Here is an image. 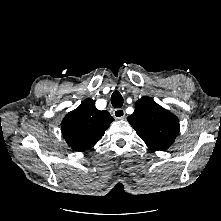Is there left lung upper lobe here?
Wrapping results in <instances>:
<instances>
[{
	"label": "left lung upper lobe",
	"mask_w": 221,
	"mask_h": 221,
	"mask_svg": "<svg viewBox=\"0 0 221 221\" xmlns=\"http://www.w3.org/2000/svg\"><path fill=\"white\" fill-rule=\"evenodd\" d=\"M127 119L137 135L154 151L169 148L179 134L178 118L150 97L138 99L134 113Z\"/></svg>",
	"instance_id": "5c2ea615"
}]
</instances>
